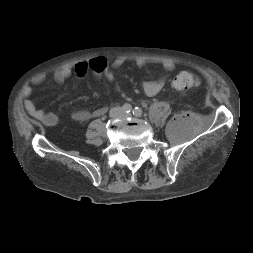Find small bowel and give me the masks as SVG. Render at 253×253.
Wrapping results in <instances>:
<instances>
[{
    "label": "small bowel",
    "mask_w": 253,
    "mask_h": 253,
    "mask_svg": "<svg viewBox=\"0 0 253 253\" xmlns=\"http://www.w3.org/2000/svg\"><path fill=\"white\" fill-rule=\"evenodd\" d=\"M126 60L122 57L115 58L111 60L108 63V69L110 72H112V69L119 68L125 64ZM145 60L143 59H137L135 61L136 66L143 67L145 65ZM162 67L165 71L171 72L174 70L175 65L172 61H164L162 63ZM89 68V62L81 61L74 65L73 68L70 67H64L54 74V80L57 83H64L71 75L72 73H75L78 77H84L88 71ZM45 77L40 75L33 79V84L39 85L42 84ZM166 84L165 78L160 79H151L147 80L143 83V90L148 96H154L158 94L162 88ZM32 94L31 87L27 86L23 90V96H24V106L27 113L33 117L35 120L39 121L43 125L47 127H53L58 123V115L54 112H46L43 109L37 108L32 99L30 98ZM107 112L106 107H99L92 111L89 110H77L72 113V119L76 122L83 123L91 118H97L105 115Z\"/></svg>",
    "instance_id": "c3829d8e"
}]
</instances>
